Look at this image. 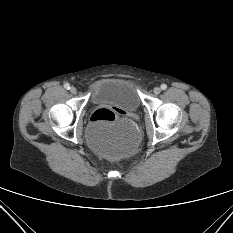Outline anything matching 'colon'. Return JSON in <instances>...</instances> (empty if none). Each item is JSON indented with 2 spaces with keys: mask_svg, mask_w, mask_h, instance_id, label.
<instances>
[{
  "mask_svg": "<svg viewBox=\"0 0 233 233\" xmlns=\"http://www.w3.org/2000/svg\"><path fill=\"white\" fill-rule=\"evenodd\" d=\"M114 120L115 113L107 108L98 109L91 116V121L96 124L112 123Z\"/></svg>",
  "mask_w": 233,
  "mask_h": 233,
  "instance_id": "5ec220e1",
  "label": "colon"
}]
</instances>
